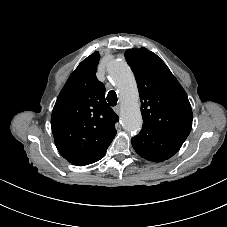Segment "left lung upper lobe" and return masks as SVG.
<instances>
[{"label": "left lung upper lobe", "instance_id": "1", "mask_svg": "<svg viewBox=\"0 0 227 227\" xmlns=\"http://www.w3.org/2000/svg\"><path fill=\"white\" fill-rule=\"evenodd\" d=\"M125 57L139 89L143 127L184 142L192 128L193 114L182 86L148 49H129Z\"/></svg>", "mask_w": 227, "mask_h": 227}]
</instances>
